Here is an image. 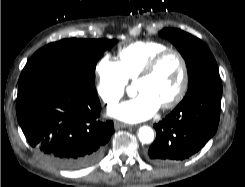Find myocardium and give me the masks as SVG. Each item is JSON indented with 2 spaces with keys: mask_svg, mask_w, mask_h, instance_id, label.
Masks as SVG:
<instances>
[{
  "mask_svg": "<svg viewBox=\"0 0 245 187\" xmlns=\"http://www.w3.org/2000/svg\"><path fill=\"white\" fill-rule=\"evenodd\" d=\"M168 55H174L177 57L178 61L181 65V82L179 85V88L177 92L164 104H162L160 107L162 109H170L178 105L181 100L184 98L189 85V70H188V64L183 56V54L174 48H166L155 55H153L147 63L144 65V67L139 72L138 76L136 77V82L139 80L148 78L153 74L158 64Z\"/></svg>",
  "mask_w": 245,
  "mask_h": 187,
  "instance_id": "1",
  "label": "myocardium"
}]
</instances>
